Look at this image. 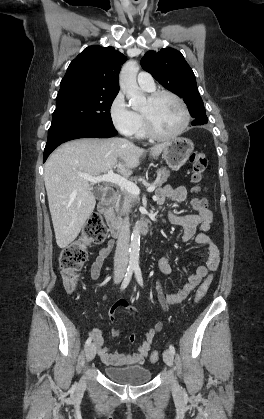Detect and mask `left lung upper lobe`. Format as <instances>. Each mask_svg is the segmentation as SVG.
Returning <instances> with one entry per match:
<instances>
[{"mask_svg": "<svg viewBox=\"0 0 264 419\" xmlns=\"http://www.w3.org/2000/svg\"><path fill=\"white\" fill-rule=\"evenodd\" d=\"M141 66L163 87L181 97L192 117L202 115L207 119L195 75L179 51L173 48L148 51L141 59Z\"/></svg>", "mask_w": 264, "mask_h": 419, "instance_id": "5c2ea615", "label": "left lung upper lobe"}]
</instances>
